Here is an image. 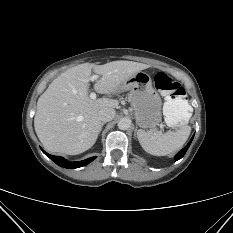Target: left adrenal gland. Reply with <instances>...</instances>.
<instances>
[{"label": "left adrenal gland", "mask_w": 233, "mask_h": 233, "mask_svg": "<svg viewBox=\"0 0 233 233\" xmlns=\"http://www.w3.org/2000/svg\"><path fill=\"white\" fill-rule=\"evenodd\" d=\"M136 133H137V128L135 129V134H134V135H135V137H136Z\"/></svg>", "instance_id": "a2214340"}]
</instances>
